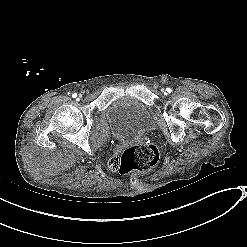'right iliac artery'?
Masks as SVG:
<instances>
[{"mask_svg":"<svg viewBox=\"0 0 247 247\" xmlns=\"http://www.w3.org/2000/svg\"><path fill=\"white\" fill-rule=\"evenodd\" d=\"M72 96H73V98H76V97H77V94H76V93H74Z\"/></svg>","mask_w":247,"mask_h":247,"instance_id":"obj_1","label":"right iliac artery"}]
</instances>
